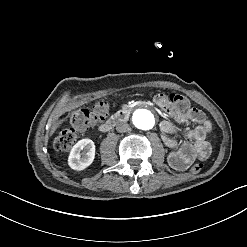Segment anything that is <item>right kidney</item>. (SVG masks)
<instances>
[{
	"label": "right kidney",
	"instance_id": "obj_1",
	"mask_svg": "<svg viewBox=\"0 0 247 247\" xmlns=\"http://www.w3.org/2000/svg\"><path fill=\"white\" fill-rule=\"evenodd\" d=\"M94 157V142L90 139H82L73 146L68 158V164L74 170H83L93 162Z\"/></svg>",
	"mask_w": 247,
	"mask_h": 247
}]
</instances>
